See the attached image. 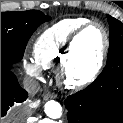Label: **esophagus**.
<instances>
[{
  "instance_id": "34e87169",
  "label": "esophagus",
  "mask_w": 123,
  "mask_h": 123,
  "mask_svg": "<svg viewBox=\"0 0 123 123\" xmlns=\"http://www.w3.org/2000/svg\"><path fill=\"white\" fill-rule=\"evenodd\" d=\"M55 97H56V95L52 92H45L44 95H43L44 100L53 99Z\"/></svg>"
}]
</instances>
